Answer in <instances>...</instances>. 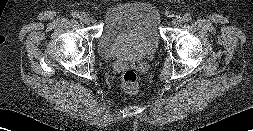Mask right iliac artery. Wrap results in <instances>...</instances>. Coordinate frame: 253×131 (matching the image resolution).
Wrapping results in <instances>:
<instances>
[{
  "label": "right iliac artery",
  "mask_w": 253,
  "mask_h": 131,
  "mask_svg": "<svg viewBox=\"0 0 253 131\" xmlns=\"http://www.w3.org/2000/svg\"><path fill=\"white\" fill-rule=\"evenodd\" d=\"M71 16H72L73 18H79V17H80V16H79V13H78L77 11L72 12Z\"/></svg>",
  "instance_id": "1"
}]
</instances>
